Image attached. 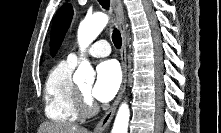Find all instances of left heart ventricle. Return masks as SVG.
<instances>
[{"mask_svg": "<svg viewBox=\"0 0 221 133\" xmlns=\"http://www.w3.org/2000/svg\"><path fill=\"white\" fill-rule=\"evenodd\" d=\"M90 85H81L80 88L86 93L89 94L90 92Z\"/></svg>", "mask_w": 221, "mask_h": 133, "instance_id": "left-heart-ventricle-1", "label": "left heart ventricle"}]
</instances>
